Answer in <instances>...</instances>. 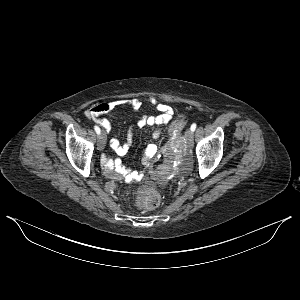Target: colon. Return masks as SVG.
<instances>
[{
  "label": "colon",
  "mask_w": 300,
  "mask_h": 300,
  "mask_svg": "<svg viewBox=\"0 0 300 300\" xmlns=\"http://www.w3.org/2000/svg\"><path fill=\"white\" fill-rule=\"evenodd\" d=\"M183 119L181 117L177 118L172 125L170 126L169 133L170 137L174 138L178 132L181 130L183 127ZM174 150V145L171 143L167 149V153H171ZM157 179L158 180H163L164 179V174L163 173H158L157 174ZM137 185L140 187L136 186H131L130 187V192L134 193L136 196V204L142 208V209H154L159 206L161 199H160V194L157 192L156 188L158 186V183L156 180L151 179L148 181V183H144L143 179H138L137 180Z\"/></svg>",
  "instance_id": "5ec220e1"
}]
</instances>
